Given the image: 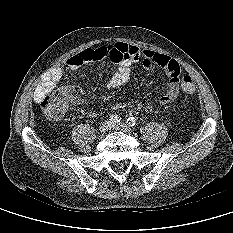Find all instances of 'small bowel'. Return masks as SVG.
<instances>
[{"label":"small bowel","instance_id":"small-bowel-1","mask_svg":"<svg viewBox=\"0 0 233 233\" xmlns=\"http://www.w3.org/2000/svg\"><path fill=\"white\" fill-rule=\"evenodd\" d=\"M106 58L118 65L109 81L108 86L110 89H116L125 85L130 77L131 65L141 61L146 69L157 65L165 71L167 81L160 95L155 97L154 100L159 104L165 105L176 99L180 82V67L177 61L167 55L151 50H140L136 46L121 42L84 49L55 66L48 77L37 87L34 95L35 99L40 102L45 95L51 93L62 79L64 72L75 70L87 63L97 62ZM76 101L81 102L82 100L77 98ZM133 107L136 110L145 111L153 109L152 105L143 102H136L133 104Z\"/></svg>","mask_w":233,"mask_h":233}]
</instances>
